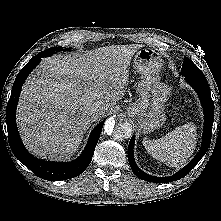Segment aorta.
Segmentation results:
<instances>
[{"label": "aorta", "instance_id": "aorta-1", "mask_svg": "<svg viewBox=\"0 0 221 221\" xmlns=\"http://www.w3.org/2000/svg\"><path fill=\"white\" fill-rule=\"evenodd\" d=\"M106 134L118 141H123L132 135V123L128 117L117 115L108 118L104 124Z\"/></svg>", "mask_w": 221, "mask_h": 221}]
</instances>
